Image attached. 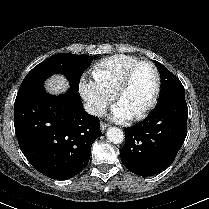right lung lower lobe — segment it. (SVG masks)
Here are the masks:
<instances>
[{"instance_id": "1", "label": "right lung lower lobe", "mask_w": 209, "mask_h": 209, "mask_svg": "<svg viewBox=\"0 0 209 209\" xmlns=\"http://www.w3.org/2000/svg\"><path fill=\"white\" fill-rule=\"evenodd\" d=\"M15 133L21 151L39 172L64 180L88 163L92 143L102 133L99 119L83 109L79 92L46 94L43 83L17 94Z\"/></svg>"}]
</instances>
